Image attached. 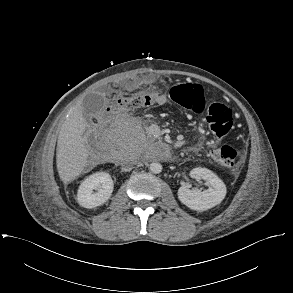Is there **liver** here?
Returning a JSON list of instances; mask_svg holds the SVG:
<instances>
[{
	"mask_svg": "<svg viewBox=\"0 0 293 293\" xmlns=\"http://www.w3.org/2000/svg\"><path fill=\"white\" fill-rule=\"evenodd\" d=\"M85 130L86 122L80 102L69 112L58 135L56 165L64 183L77 178L87 165L88 150L83 137Z\"/></svg>",
	"mask_w": 293,
	"mask_h": 293,
	"instance_id": "obj_1",
	"label": "liver"
}]
</instances>
